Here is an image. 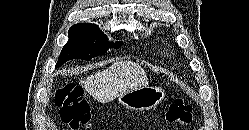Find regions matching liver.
Wrapping results in <instances>:
<instances>
[{
    "label": "liver",
    "mask_w": 249,
    "mask_h": 130,
    "mask_svg": "<svg viewBox=\"0 0 249 130\" xmlns=\"http://www.w3.org/2000/svg\"><path fill=\"white\" fill-rule=\"evenodd\" d=\"M83 85L98 102H111L132 90L148 85L146 72L131 61L115 62L107 69L89 75Z\"/></svg>",
    "instance_id": "liver-1"
}]
</instances>
